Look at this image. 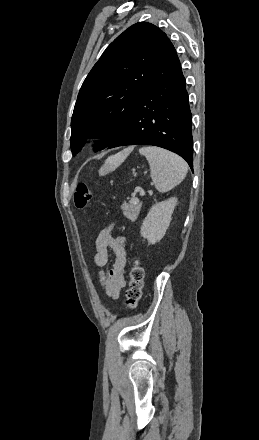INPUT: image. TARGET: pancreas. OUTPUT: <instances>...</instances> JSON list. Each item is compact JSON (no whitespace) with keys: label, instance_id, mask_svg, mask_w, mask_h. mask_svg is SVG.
Instances as JSON below:
<instances>
[{"label":"pancreas","instance_id":"pancreas-1","mask_svg":"<svg viewBox=\"0 0 259 440\" xmlns=\"http://www.w3.org/2000/svg\"><path fill=\"white\" fill-rule=\"evenodd\" d=\"M142 203H140L139 201L134 203L133 198L131 199V201L129 203H125L121 206V209L123 211V214L130 219L131 221H134L141 209Z\"/></svg>","mask_w":259,"mask_h":440}]
</instances>
